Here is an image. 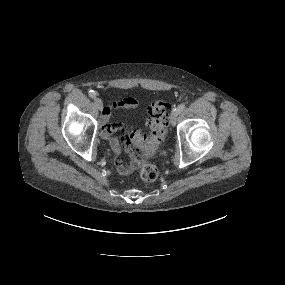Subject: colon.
<instances>
[{
  "label": "colon",
  "instance_id": "obj_1",
  "mask_svg": "<svg viewBox=\"0 0 285 285\" xmlns=\"http://www.w3.org/2000/svg\"><path fill=\"white\" fill-rule=\"evenodd\" d=\"M169 109L170 105L162 100L153 102L149 109L148 129H135L130 139L124 137L125 147L132 158L131 167L138 169L141 178L147 182L154 181L158 176V171L154 165L145 162L142 151L151 154L162 145L168 127ZM111 127L115 132L120 130L116 125ZM132 142L137 147H134Z\"/></svg>",
  "mask_w": 285,
  "mask_h": 285
}]
</instances>
